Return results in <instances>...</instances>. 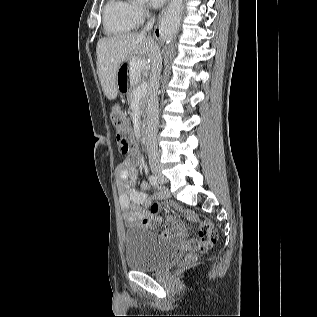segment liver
Segmentation results:
<instances>
[{
  "label": "liver",
  "mask_w": 317,
  "mask_h": 317,
  "mask_svg": "<svg viewBox=\"0 0 317 317\" xmlns=\"http://www.w3.org/2000/svg\"><path fill=\"white\" fill-rule=\"evenodd\" d=\"M154 40L141 33H126L102 38L97 42V72L104 95L113 100L117 97V72L121 64L131 57L137 60L140 70L149 69L153 63Z\"/></svg>",
  "instance_id": "6515ba94"
}]
</instances>
